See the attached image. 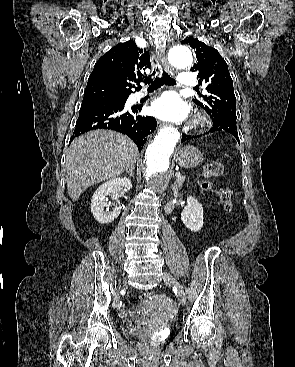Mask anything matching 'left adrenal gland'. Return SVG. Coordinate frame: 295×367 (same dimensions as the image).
I'll use <instances>...</instances> for the list:
<instances>
[{
	"label": "left adrenal gland",
	"mask_w": 295,
	"mask_h": 367,
	"mask_svg": "<svg viewBox=\"0 0 295 367\" xmlns=\"http://www.w3.org/2000/svg\"><path fill=\"white\" fill-rule=\"evenodd\" d=\"M172 189H173L175 192L178 190V187H177V184H176V183H174V184L172 185Z\"/></svg>",
	"instance_id": "left-adrenal-gland-1"
}]
</instances>
